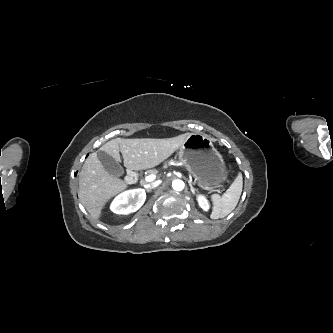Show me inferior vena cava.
Wrapping results in <instances>:
<instances>
[{
	"mask_svg": "<svg viewBox=\"0 0 333 333\" xmlns=\"http://www.w3.org/2000/svg\"><path fill=\"white\" fill-rule=\"evenodd\" d=\"M159 184H160V181H156V182H153L151 184L145 185V188L146 189H153V188H156Z\"/></svg>",
	"mask_w": 333,
	"mask_h": 333,
	"instance_id": "obj_1",
	"label": "inferior vena cava"
}]
</instances>
